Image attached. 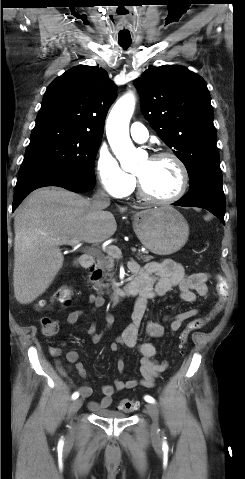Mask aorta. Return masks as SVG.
Listing matches in <instances>:
<instances>
[{
    "instance_id": "aorta-1",
    "label": "aorta",
    "mask_w": 245,
    "mask_h": 479,
    "mask_svg": "<svg viewBox=\"0 0 245 479\" xmlns=\"http://www.w3.org/2000/svg\"><path fill=\"white\" fill-rule=\"evenodd\" d=\"M134 108V95L127 93L115 103L106 124L109 144L121 167L128 172H133L138 164L136 150L129 136V122Z\"/></svg>"
}]
</instances>
